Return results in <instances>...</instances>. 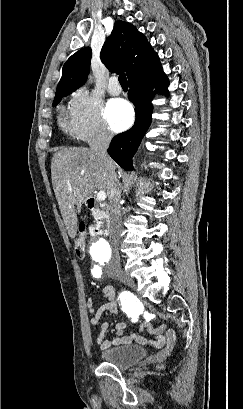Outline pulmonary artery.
Returning a JSON list of instances; mask_svg holds the SVG:
<instances>
[{
  "label": "pulmonary artery",
  "mask_w": 243,
  "mask_h": 409,
  "mask_svg": "<svg viewBox=\"0 0 243 409\" xmlns=\"http://www.w3.org/2000/svg\"><path fill=\"white\" fill-rule=\"evenodd\" d=\"M107 90L108 93L113 96H117L121 93V87L118 84V80L116 77L110 78Z\"/></svg>",
  "instance_id": "1"
}]
</instances>
